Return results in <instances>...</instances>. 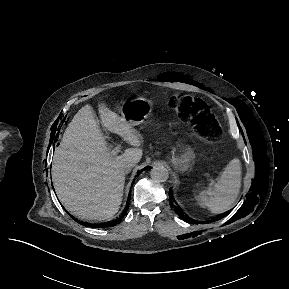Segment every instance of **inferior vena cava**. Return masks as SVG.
Masks as SVG:
<instances>
[{
	"mask_svg": "<svg viewBox=\"0 0 289 289\" xmlns=\"http://www.w3.org/2000/svg\"><path fill=\"white\" fill-rule=\"evenodd\" d=\"M134 166L133 163L131 162H126L124 163L122 166H121V171L124 173V174H127L130 172V170L132 169V167Z\"/></svg>",
	"mask_w": 289,
	"mask_h": 289,
	"instance_id": "1",
	"label": "inferior vena cava"
}]
</instances>
